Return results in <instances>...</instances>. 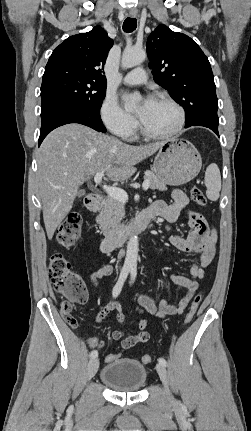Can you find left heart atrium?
Returning <instances> with one entry per match:
<instances>
[{
  "instance_id": "left-heart-atrium-1",
  "label": "left heart atrium",
  "mask_w": 251,
  "mask_h": 431,
  "mask_svg": "<svg viewBox=\"0 0 251 431\" xmlns=\"http://www.w3.org/2000/svg\"><path fill=\"white\" fill-rule=\"evenodd\" d=\"M152 103H153V100L151 99L144 100V102L140 106L141 111L147 110L152 105Z\"/></svg>"
}]
</instances>
